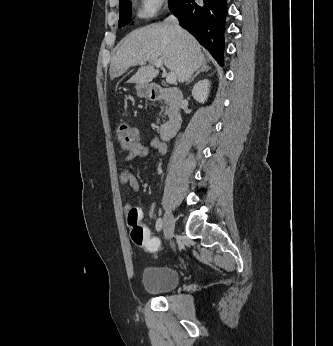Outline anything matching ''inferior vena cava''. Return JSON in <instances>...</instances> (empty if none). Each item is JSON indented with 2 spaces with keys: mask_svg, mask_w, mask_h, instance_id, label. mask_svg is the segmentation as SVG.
Here are the masks:
<instances>
[{
  "mask_svg": "<svg viewBox=\"0 0 333 346\" xmlns=\"http://www.w3.org/2000/svg\"><path fill=\"white\" fill-rule=\"evenodd\" d=\"M166 21H167L168 23L172 24L176 29L180 30L179 21H178V19H177L175 16L170 15V16L166 19Z\"/></svg>",
  "mask_w": 333,
  "mask_h": 346,
  "instance_id": "inferior-vena-cava-1",
  "label": "inferior vena cava"
}]
</instances>
